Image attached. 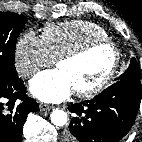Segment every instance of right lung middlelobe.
Listing matches in <instances>:
<instances>
[{"label": "right lung middle lobe", "mask_w": 142, "mask_h": 142, "mask_svg": "<svg viewBox=\"0 0 142 142\" xmlns=\"http://www.w3.org/2000/svg\"><path fill=\"white\" fill-rule=\"evenodd\" d=\"M27 18L11 12H0V81L17 77L14 66L17 37Z\"/></svg>", "instance_id": "1"}]
</instances>
